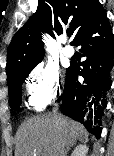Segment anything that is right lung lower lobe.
Instances as JSON below:
<instances>
[{
	"mask_svg": "<svg viewBox=\"0 0 114 156\" xmlns=\"http://www.w3.org/2000/svg\"><path fill=\"white\" fill-rule=\"evenodd\" d=\"M73 44L81 46L82 56L87 58L81 64L83 68L71 64L67 69L65 88L59 98L61 110L100 138V119L107 105L105 98L114 64V36L104 9L76 36ZM78 75L84 80L79 82Z\"/></svg>",
	"mask_w": 114,
	"mask_h": 156,
	"instance_id": "1",
	"label": "right lung lower lobe"
}]
</instances>
